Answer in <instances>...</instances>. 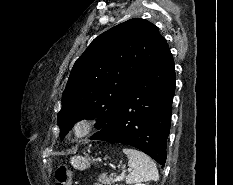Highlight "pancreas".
<instances>
[{
    "mask_svg": "<svg viewBox=\"0 0 233 185\" xmlns=\"http://www.w3.org/2000/svg\"><path fill=\"white\" fill-rule=\"evenodd\" d=\"M98 181H99L98 185H113L116 182L115 178L107 177L106 175L99 176Z\"/></svg>",
    "mask_w": 233,
    "mask_h": 185,
    "instance_id": "cf45deb5",
    "label": "pancreas"
}]
</instances>
